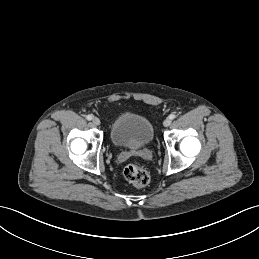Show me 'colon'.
<instances>
[{
    "label": "colon",
    "instance_id": "1",
    "mask_svg": "<svg viewBox=\"0 0 259 259\" xmlns=\"http://www.w3.org/2000/svg\"><path fill=\"white\" fill-rule=\"evenodd\" d=\"M123 176L130 184L135 187H143L149 183L150 177L148 172L139 165L130 164L125 167Z\"/></svg>",
    "mask_w": 259,
    "mask_h": 259
}]
</instances>
